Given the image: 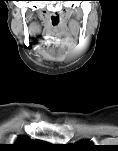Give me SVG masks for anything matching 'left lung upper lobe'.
I'll use <instances>...</instances> for the list:
<instances>
[{
	"mask_svg": "<svg viewBox=\"0 0 118 151\" xmlns=\"http://www.w3.org/2000/svg\"><path fill=\"white\" fill-rule=\"evenodd\" d=\"M75 145L78 147H91L92 146V144L89 141H82Z\"/></svg>",
	"mask_w": 118,
	"mask_h": 151,
	"instance_id": "5c2ea615",
	"label": "left lung upper lobe"
}]
</instances>
